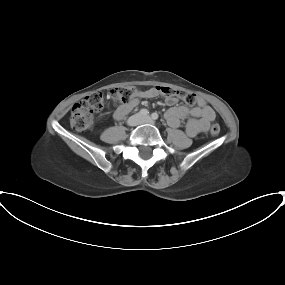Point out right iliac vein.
Instances as JSON below:
<instances>
[{
  "instance_id": "1",
  "label": "right iliac vein",
  "mask_w": 285,
  "mask_h": 285,
  "mask_svg": "<svg viewBox=\"0 0 285 285\" xmlns=\"http://www.w3.org/2000/svg\"><path fill=\"white\" fill-rule=\"evenodd\" d=\"M141 123V117L139 114L133 115L128 119V125L131 127L137 126Z\"/></svg>"
}]
</instances>
